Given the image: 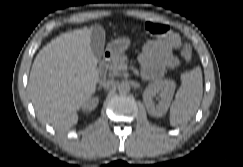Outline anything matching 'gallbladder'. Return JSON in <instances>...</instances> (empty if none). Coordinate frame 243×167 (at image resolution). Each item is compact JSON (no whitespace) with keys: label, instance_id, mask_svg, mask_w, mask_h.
I'll list each match as a JSON object with an SVG mask.
<instances>
[{"label":"gallbladder","instance_id":"bac80fb5","mask_svg":"<svg viewBox=\"0 0 243 167\" xmlns=\"http://www.w3.org/2000/svg\"><path fill=\"white\" fill-rule=\"evenodd\" d=\"M105 44V32L102 27L95 26L91 33V48L97 60L101 59Z\"/></svg>","mask_w":243,"mask_h":167}]
</instances>
